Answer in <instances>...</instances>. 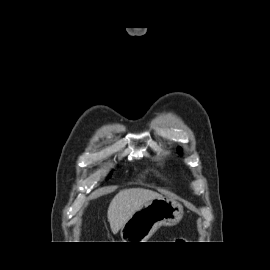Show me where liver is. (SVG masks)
<instances>
[{
	"label": "liver",
	"mask_w": 270,
	"mask_h": 270,
	"mask_svg": "<svg viewBox=\"0 0 270 270\" xmlns=\"http://www.w3.org/2000/svg\"><path fill=\"white\" fill-rule=\"evenodd\" d=\"M160 197L162 195L159 193L142 188L119 191L111 200L107 211L108 222L113 234H117L144 204Z\"/></svg>",
	"instance_id": "liver-1"
}]
</instances>
